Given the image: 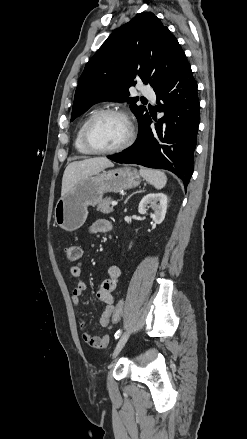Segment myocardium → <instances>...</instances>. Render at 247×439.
I'll list each match as a JSON object with an SVG mask.
<instances>
[{"mask_svg": "<svg viewBox=\"0 0 247 439\" xmlns=\"http://www.w3.org/2000/svg\"><path fill=\"white\" fill-rule=\"evenodd\" d=\"M112 115V116H118L121 117L128 126V136L126 140L120 144L119 146L111 149H99L96 148L91 140H90V129L93 125V123L99 119L100 117ZM135 140V127L132 122L131 117L128 115L127 112L121 109H114V108H107L99 110L95 113H93L88 120L85 122L83 129H82V143L85 146V148L92 154H101V155H109V154H115L118 152H121L128 147H130Z\"/></svg>", "mask_w": 247, "mask_h": 439, "instance_id": "1", "label": "myocardium"}]
</instances>
